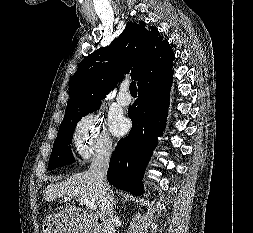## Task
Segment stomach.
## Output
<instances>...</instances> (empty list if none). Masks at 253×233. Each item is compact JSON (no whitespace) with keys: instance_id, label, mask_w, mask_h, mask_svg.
<instances>
[{"instance_id":"0dacf381","label":"stomach","mask_w":253,"mask_h":233,"mask_svg":"<svg viewBox=\"0 0 253 233\" xmlns=\"http://www.w3.org/2000/svg\"><path fill=\"white\" fill-rule=\"evenodd\" d=\"M44 233H80L76 227L74 214L68 210L50 215L43 222Z\"/></svg>"}]
</instances>
